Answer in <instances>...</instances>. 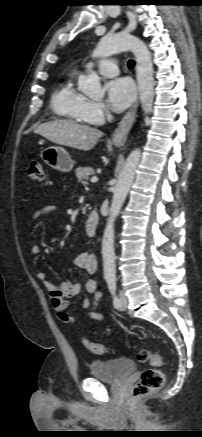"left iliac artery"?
Instances as JSON below:
<instances>
[{"instance_id":"left-iliac-artery-1","label":"left iliac artery","mask_w":202,"mask_h":437,"mask_svg":"<svg viewBox=\"0 0 202 437\" xmlns=\"http://www.w3.org/2000/svg\"><path fill=\"white\" fill-rule=\"evenodd\" d=\"M107 283H108L109 291L113 297V305L115 308H119L120 300L116 295V278L115 277H108Z\"/></svg>"}]
</instances>
